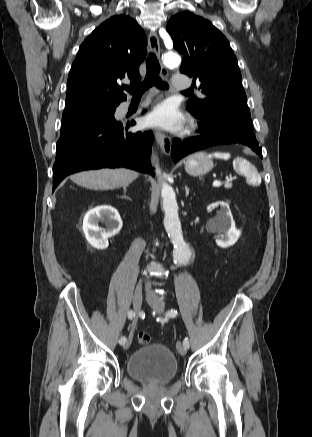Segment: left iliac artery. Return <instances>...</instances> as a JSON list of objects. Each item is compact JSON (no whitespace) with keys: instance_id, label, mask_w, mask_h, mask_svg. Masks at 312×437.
I'll return each mask as SVG.
<instances>
[{"instance_id":"44dca946","label":"left iliac artery","mask_w":312,"mask_h":437,"mask_svg":"<svg viewBox=\"0 0 312 437\" xmlns=\"http://www.w3.org/2000/svg\"><path fill=\"white\" fill-rule=\"evenodd\" d=\"M166 316H167V317H171V318L176 317V316H177V310H175V309H171V310H169V311L166 313ZM183 344H184V346H185L186 348L189 347V339H188L187 337L184 339Z\"/></svg>"}]
</instances>
